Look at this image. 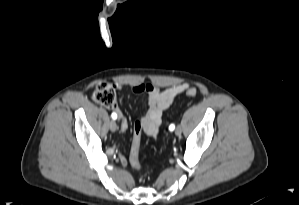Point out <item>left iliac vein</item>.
<instances>
[{
	"mask_svg": "<svg viewBox=\"0 0 299 205\" xmlns=\"http://www.w3.org/2000/svg\"><path fill=\"white\" fill-rule=\"evenodd\" d=\"M181 133H182V129H181V127H177L176 130H175V134H176L177 136H180Z\"/></svg>",
	"mask_w": 299,
	"mask_h": 205,
	"instance_id": "1",
	"label": "left iliac vein"
}]
</instances>
